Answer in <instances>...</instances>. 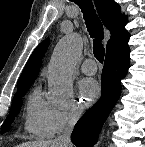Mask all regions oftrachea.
Masks as SVG:
<instances>
[{
	"mask_svg": "<svg viewBox=\"0 0 145 147\" xmlns=\"http://www.w3.org/2000/svg\"><path fill=\"white\" fill-rule=\"evenodd\" d=\"M74 2L81 8L87 30L91 38H93L94 56L102 63L105 55V49L102 45L104 38L103 25L96 15L93 3L91 0H76Z\"/></svg>",
	"mask_w": 145,
	"mask_h": 147,
	"instance_id": "trachea-1",
	"label": "trachea"
}]
</instances>
